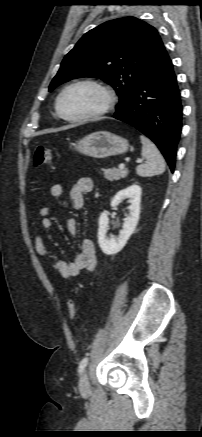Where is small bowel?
Masks as SVG:
<instances>
[{"label": "small bowel", "mask_w": 202, "mask_h": 437, "mask_svg": "<svg viewBox=\"0 0 202 437\" xmlns=\"http://www.w3.org/2000/svg\"><path fill=\"white\" fill-rule=\"evenodd\" d=\"M93 189V181L88 177L79 178L69 189L68 199L70 206L75 211H80L84 207V196ZM50 196L58 198L64 193V187L61 184H54L49 190ZM41 216L40 228L50 230L53 227L51 218L52 210L44 206L39 210ZM67 230L71 236L77 231V223L74 218L67 220ZM36 252L42 256L47 264L62 278L71 279L78 276L82 271H92L97 263L95 244L90 239H83L79 250L75 253L71 261H64L53 253L45 244L40 234L34 238Z\"/></svg>", "instance_id": "1"}]
</instances>
